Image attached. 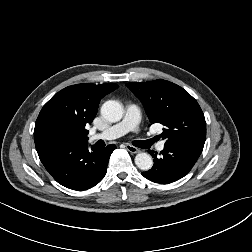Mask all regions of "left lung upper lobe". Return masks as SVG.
Segmentation results:
<instances>
[{
    "instance_id": "1",
    "label": "left lung upper lobe",
    "mask_w": 252,
    "mask_h": 252,
    "mask_svg": "<svg viewBox=\"0 0 252 252\" xmlns=\"http://www.w3.org/2000/svg\"><path fill=\"white\" fill-rule=\"evenodd\" d=\"M142 102L150 123L165 126V146L189 145L203 150L206 122L197 101L182 87L166 80L127 83Z\"/></svg>"
}]
</instances>
